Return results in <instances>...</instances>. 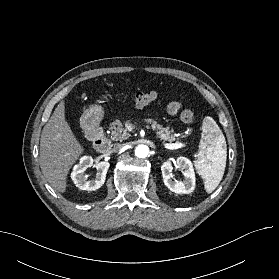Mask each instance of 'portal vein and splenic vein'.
<instances>
[{
	"label": "portal vein and splenic vein",
	"mask_w": 279,
	"mask_h": 279,
	"mask_svg": "<svg viewBox=\"0 0 279 279\" xmlns=\"http://www.w3.org/2000/svg\"><path fill=\"white\" fill-rule=\"evenodd\" d=\"M185 146L186 145L184 143H173V144L165 143L164 144V147L167 148V149H170V150L179 149V148H182V147H185Z\"/></svg>",
	"instance_id": "1"
}]
</instances>
